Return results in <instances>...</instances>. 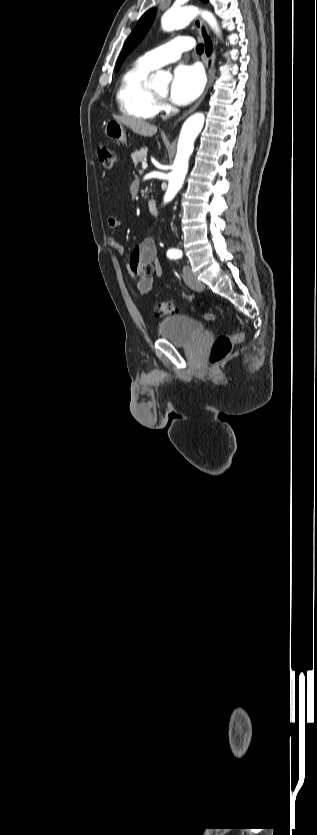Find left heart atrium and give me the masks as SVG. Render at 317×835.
I'll list each match as a JSON object with an SVG mask.
<instances>
[{
    "label": "left heart atrium",
    "mask_w": 317,
    "mask_h": 835,
    "mask_svg": "<svg viewBox=\"0 0 317 835\" xmlns=\"http://www.w3.org/2000/svg\"><path fill=\"white\" fill-rule=\"evenodd\" d=\"M204 87V75L197 65H179L176 67L170 85V99L177 105H186L194 101Z\"/></svg>",
    "instance_id": "obj_1"
}]
</instances>
